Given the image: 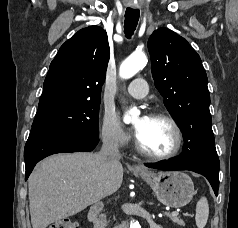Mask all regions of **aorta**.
<instances>
[{
	"label": "aorta",
	"instance_id": "762f6f07",
	"mask_svg": "<svg viewBox=\"0 0 238 228\" xmlns=\"http://www.w3.org/2000/svg\"><path fill=\"white\" fill-rule=\"evenodd\" d=\"M148 62L147 56L142 52H135L131 54L120 66L119 75L123 79H129L143 69ZM137 111L132 109L124 115V122L129 123L131 117L135 115ZM130 228H141L138 221H131Z\"/></svg>",
	"mask_w": 238,
	"mask_h": 228
}]
</instances>
